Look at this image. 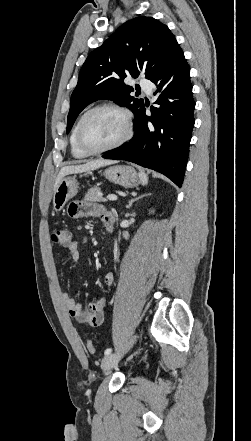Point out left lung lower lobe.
<instances>
[{"mask_svg":"<svg viewBox=\"0 0 251 441\" xmlns=\"http://www.w3.org/2000/svg\"><path fill=\"white\" fill-rule=\"evenodd\" d=\"M159 94L147 116L146 104L135 114V133L128 142L103 155L153 169L181 187L194 127L195 101L190 68L177 43L167 61L150 79Z\"/></svg>","mask_w":251,"mask_h":441,"instance_id":"0a47b994","label":"left lung lower lobe"}]
</instances>
